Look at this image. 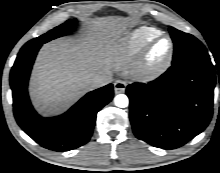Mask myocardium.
I'll return each mask as SVG.
<instances>
[{
  "label": "myocardium",
  "instance_id": "myocardium-1",
  "mask_svg": "<svg viewBox=\"0 0 220 173\" xmlns=\"http://www.w3.org/2000/svg\"><path fill=\"white\" fill-rule=\"evenodd\" d=\"M166 40L168 42V48L164 59L156 64L151 65L149 63V54L151 50L161 41ZM174 54V43L170 36L166 34H159L150 40L137 55L132 73L133 76L141 81H151L161 76L171 65Z\"/></svg>",
  "mask_w": 220,
  "mask_h": 173
}]
</instances>
